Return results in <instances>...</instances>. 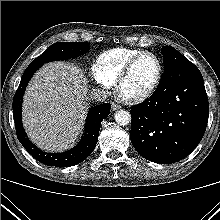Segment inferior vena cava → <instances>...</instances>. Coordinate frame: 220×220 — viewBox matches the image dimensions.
Wrapping results in <instances>:
<instances>
[{
    "mask_svg": "<svg viewBox=\"0 0 220 220\" xmlns=\"http://www.w3.org/2000/svg\"><path fill=\"white\" fill-rule=\"evenodd\" d=\"M90 95H91L92 99H94L98 102H103L107 98L106 92L100 88H92Z\"/></svg>",
    "mask_w": 220,
    "mask_h": 220,
    "instance_id": "obj_1",
    "label": "inferior vena cava"
}]
</instances>
